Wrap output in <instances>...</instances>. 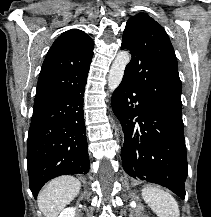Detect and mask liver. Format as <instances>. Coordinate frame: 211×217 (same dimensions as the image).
Here are the masks:
<instances>
[{
	"instance_id": "1",
	"label": "liver",
	"mask_w": 211,
	"mask_h": 217,
	"mask_svg": "<svg viewBox=\"0 0 211 217\" xmlns=\"http://www.w3.org/2000/svg\"><path fill=\"white\" fill-rule=\"evenodd\" d=\"M80 188V181L72 176H61L50 181L37 199L44 217H57L79 194Z\"/></svg>"
}]
</instances>
